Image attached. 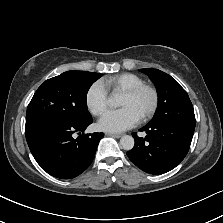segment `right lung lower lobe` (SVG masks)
I'll list each match as a JSON object with an SVG mask.
<instances>
[{
    "instance_id": "obj_1",
    "label": "right lung lower lobe",
    "mask_w": 223,
    "mask_h": 223,
    "mask_svg": "<svg viewBox=\"0 0 223 223\" xmlns=\"http://www.w3.org/2000/svg\"><path fill=\"white\" fill-rule=\"evenodd\" d=\"M85 124L50 123L25 130L26 140L37 163L50 175L69 179L80 175L91 164L103 133L82 134Z\"/></svg>"
}]
</instances>
